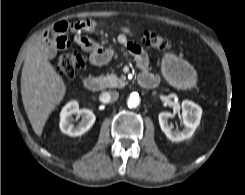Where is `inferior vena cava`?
<instances>
[{"instance_id": "obj_1", "label": "inferior vena cava", "mask_w": 245, "mask_h": 195, "mask_svg": "<svg viewBox=\"0 0 245 195\" xmlns=\"http://www.w3.org/2000/svg\"><path fill=\"white\" fill-rule=\"evenodd\" d=\"M119 97V93L117 91H109L102 93V98L106 102H113L116 101Z\"/></svg>"}]
</instances>
